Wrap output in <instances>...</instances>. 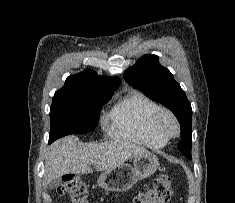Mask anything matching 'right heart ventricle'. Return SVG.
<instances>
[{
  "instance_id": "e07e8e85",
  "label": "right heart ventricle",
  "mask_w": 235,
  "mask_h": 203,
  "mask_svg": "<svg viewBox=\"0 0 235 203\" xmlns=\"http://www.w3.org/2000/svg\"><path fill=\"white\" fill-rule=\"evenodd\" d=\"M160 106L139 91H130L114 105L107 122L110 133L126 141L149 148H162L167 140L150 129L153 115Z\"/></svg>"
}]
</instances>
